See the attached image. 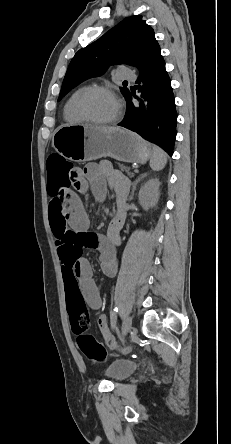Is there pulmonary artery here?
<instances>
[{"instance_id": "pulmonary-artery-1", "label": "pulmonary artery", "mask_w": 231, "mask_h": 444, "mask_svg": "<svg viewBox=\"0 0 231 444\" xmlns=\"http://www.w3.org/2000/svg\"><path fill=\"white\" fill-rule=\"evenodd\" d=\"M118 72H119V77L121 79L131 80V81L136 80V76L133 74V72L126 67L119 68Z\"/></svg>"}]
</instances>
